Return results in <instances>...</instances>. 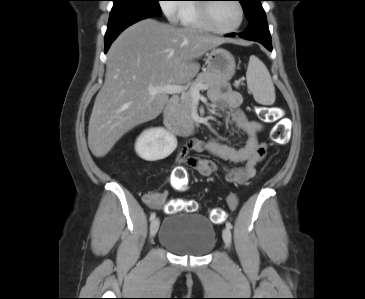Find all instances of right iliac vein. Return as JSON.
<instances>
[{"label":"right iliac vein","mask_w":365,"mask_h":299,"mask_svg":"<svg viewBox=\"0 0 365 299\" xmlns=\"http://www.w3.org/2000/svg\"><path fill=\"white\" fill-rule=\"evenodd\" d=\"M158 228H159V219H154L152 222H151V225H150V235L151 237H154L158 231Z\"/></svg>","instance_id":"1"}]
</instances>
